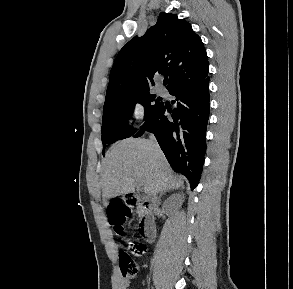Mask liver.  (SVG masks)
Listing matches in <instances>:
<instances>
[{
  "mask_svg": "<svg viewBox=\"0 0 293 289\" xmlns=\"http://www.w3.org/2000/svg\"><path fill=\"white\" fill-rule=\"evenodd\" d=\"M150 197L155 193L184 184L182 177L174 176L159 145L146 139L128 138L107 152L102 172L103 199L129 194L136 184Z\"/></svg>",
  "mask_w": 293,
  "mask_h": 289,
  "instance_id": "1",
  "label": "liver"
}]
</instances>
